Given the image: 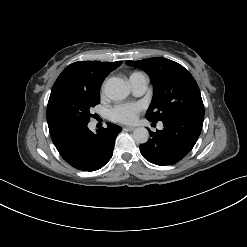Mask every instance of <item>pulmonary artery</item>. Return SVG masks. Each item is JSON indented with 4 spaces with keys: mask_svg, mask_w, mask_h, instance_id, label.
<instances>
[{
    "mask_svg": "<svg viewBox=\"0 0 247 247\" xmlns=\"http://www.w3.org/2000/svg\"><path fill=\"white\" fill-rule=\"evenodd\" d=\"M131 90L135 96H141L145 93L148 85V77L143 73H134L129 78ZM162 125L159 128L162 129Z\"/></svg>",
    "mask_w": 247,
    "mask_h": 247,
    "instance_id": "obj_1",
    "label": "pulmonary artery"
}]
</instances>
